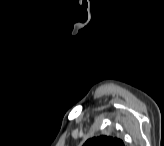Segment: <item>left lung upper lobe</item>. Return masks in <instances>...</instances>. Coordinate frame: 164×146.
<instances>
[{
  "mask_svg": "<svg viewBox=\"0 0 164 146\" xmlns=\"http://www.w3.org/2000/svg\"><path fill=\"white\" fill-rule=\"evenodd\" d=\"M84 146H124L123 141L111 136H98L88 139Z\"/></svg>",
  "mask_w": 164,
  "mask_h": 146,
  "instance_id": "1",
  "label": "left lung upper lobe"
}]
</instances>
